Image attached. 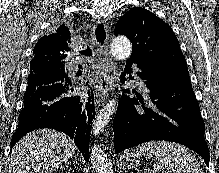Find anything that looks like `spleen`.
<instances>
[{
  "mask_svg": "<svg viewBox=\"0 0 219 173\" xmlns=\"http://www.w3.org/2000/svg\"><path fill=\"white\" fill-rule=\"evenodd\" d=\"M137 156L154 158L157 168L146 173H158V170H170L175 173H203L196 158L185 147L163 140L141 144L136 150Z\"/></svg>",
  "mask_w": 219,
  "mask_h": 173,
  "instance_id": "spleen-1",
  "label": "spleen"
}]
</instances>
